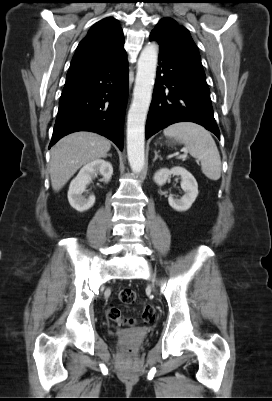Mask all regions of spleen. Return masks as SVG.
I'll return each instance as SVG.
<instances>
[{"mask_svg":"<svg viewBox=\"0 0 272 401\" xmlns=\"http://www.w3.org/2000/svg\"><path fill=\"white\" fill-rule=\"evenodd\" d=\"M164 135L182 143L190 155L201 161V170L210 180L221 177V158L216 143L210 133L195 123L180 122L170 125Z\"/></svg>","mask_w":272,"mask_h":401,"instance_id":"obj_1","label":"spleen"}]
</instances>
